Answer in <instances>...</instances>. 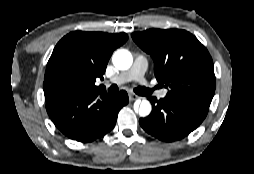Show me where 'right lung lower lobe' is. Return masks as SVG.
Returning <instances> with one entry per match:
<instances>
[{"label": "right lung lower lobe", "mask_w": 254, "mask_h": 174, "mask_svg": "<svg viewBox=\"0 0 254 174\" xmlns=\"http://www.w3.org/2000/svg\"><path fill=\"white\" fill-rule=\"evenodd\" d=\"M128 95L106 90L83 91L46 101V110L55 126L70 139L91 142L112 130Z\"/></svg>", "instance_id": "right-lung-lower-lobe-1"}]
</instances>
